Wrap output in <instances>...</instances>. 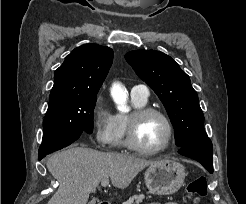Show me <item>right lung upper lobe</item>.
Here are the masks:
<instances>
[{"mask_svg": "<svg viewBox=\"0 0 246 204\" xmlns=\"http://www.w3.org/2000/svg\"><path fill=\"white\" fill-rule=\"evenodd\" d=\"M113 50L98 44L75 48L55 71L50 101L98 93L112 65Z\"/></svg>", "mask_w": 246, "mask_h": 204, "instance_id": "cb5924a9", "label": "right lung upper lobe"}]
</instances>
